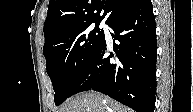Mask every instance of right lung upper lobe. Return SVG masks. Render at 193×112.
<instances>
[{"label": "right lung upper lobe", "instance_id": "1", "mask_svg": "<svg viewBox=\"0 0 193 112\" xmlns=\"http://www.w3.org/2000/svg\"><path fill=\"white\" fill-rule=\"evenodd\" d=\"M137 0H50L44 23L45 43L56 33L84 23H109Z\"/></svg>", "mask_w": 193, "mask_h": 112}]
</instances>
